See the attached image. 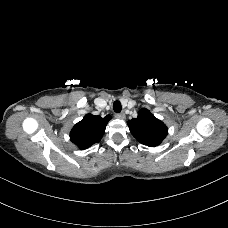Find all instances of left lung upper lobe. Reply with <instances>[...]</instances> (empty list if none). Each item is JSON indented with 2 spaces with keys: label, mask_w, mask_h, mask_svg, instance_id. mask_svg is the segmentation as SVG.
Returning a JSON list of instances; mask_svg holds the SVG:
<instances>
[{
  "label": "left lung upper lobe",
  "mask_w": 228,
  "mask_h": 228,
  "mask_svg": "<svg viewBox=\"0 0 228 228\" xmlns=\"http://www.w3.org/2000/svg\"><path fill=\"white\" fill-rule=\"evenodd\" d=\"M128 126L140 143L150 147L159 145L168 134L167 126L145 108L139 111L137 118L128 121Z\"/></svg>",
  "instance_id": "5c2ea615"
}]
</instances>
